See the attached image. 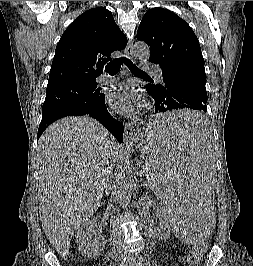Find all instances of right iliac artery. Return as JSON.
I'll use <instances>...</instances> for the list:
<instances>
[{
	"instance_id": "obj_1",
	"label": "right iliac artery",
	"mask_w": 253,
	"mask_h": 266,
	"mask_svg": "<svg viewBox=\"0 0 253 266\" xmlns=\"http://www.w3.org/2000/svg\"><path fill=\"white\" fill-rule=\"evenodd\" d=\"M120 266H128V259L127 257H125L122 261V263L120 264Z\"/></svg>"
}]
</instances>
